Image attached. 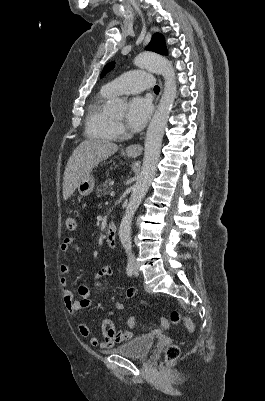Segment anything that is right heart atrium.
I'll return each mask as SVG.
<instances>
[{"instance_id":"1","label":"right heart atrium","mask_w":265,"mask_h":401,"mask_svg":"<svg viewBox=\"0 0 265 401\" xmlns=\"http://www.w3.org/2000/svg\"><path fill=\"white\" fill-rule=\"evenodd\" d=\"M116 131L118 135H123L125 133L124 126L121 123H116Z\"/></svg>"}]
</instances>
